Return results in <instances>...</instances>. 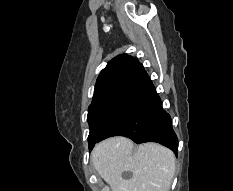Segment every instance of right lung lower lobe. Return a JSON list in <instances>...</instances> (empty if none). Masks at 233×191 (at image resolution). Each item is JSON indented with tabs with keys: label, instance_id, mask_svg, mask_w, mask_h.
Returning <instances> with one entry per match:
<instances>
[{
	"label": "right lung lower lobe",
	"instance_id": "right-lung-lower-lobe-1",
	"mask_svg": "<svg viewBox=\"0 0 233 191\" xmlns=\"http://www.w3.org/2000/svg\"><path fill=\"white\" fill-rule=\"evenodd\" d=\"M127 94L126 105L102 132L95 144L118 135L128 137L138 144L158 142L176 153L178 139L172 129L171 117L162 109L161 99L146 71L127 90Z\"/></svg>",
	"mask_w": 233,
	"mask_h": 191
}]
</instances>
